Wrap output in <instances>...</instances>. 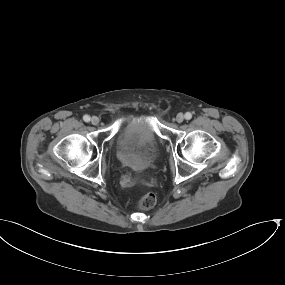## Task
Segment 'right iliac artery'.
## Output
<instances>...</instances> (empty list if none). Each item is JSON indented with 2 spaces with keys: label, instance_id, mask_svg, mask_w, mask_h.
Wrapping results in <instances>:
<instances>
[{
  "label": "right iliac artery",
  "instance_id": "obj_1",
  "mask_svg": "<svg viewBox=\"0 0 285 285\" xmlns=\"http://www.w3.org/2000/svg\"><path fill=\"white\" fill-rule=\"evenodd\" d=\"M83 120H84L85 122H89V121H90V116H89V115H84V116H83Z\"/></svg>",
  "mask_w": 285,
  "mask_h": 285
}]
</instances>
